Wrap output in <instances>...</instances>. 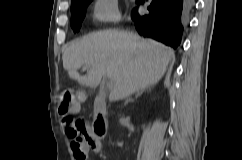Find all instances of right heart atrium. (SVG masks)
<instances>
[{
	"mask_svg": "<svg viewBox=\"0 0 242 160\" xmlns=\"http://www.w3.org/2000/svg\"><path fill=\"white\" fill-rule=\"evenodd\" d=\"M92 18L97 23H113L120 19L116 0H94Z\"/></svg>",
	"mask_w": 242,
	"mask_h": 160,
	"instance_id": "right-heart-atrium-1",
	"label": "right heart atrium"
}]
</instances>
